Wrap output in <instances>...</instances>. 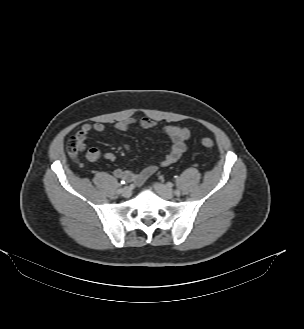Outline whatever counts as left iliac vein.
Here are the masks:
<instances>
[{"label":"left iliac vein","instance_id":"4c4485c4","mask_svg":"<svg viewBox=\"0 0 304 329\" xmlns=\"http://www.w3.org/2000/svg\"><path fill=\"white\" fill-rule=\"evenodd\" d=\"M154 187L162 198L172 199L174 197V192L170 187L163 185L161 183H155Z\"/></svg>","mask_w":304,"mask_h":329}]
</instances>
